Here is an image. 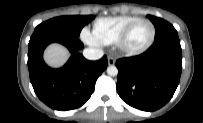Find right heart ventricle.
Masks as SVG:
<instances>
[{
	"label": "right heart ventricle",
	"mask_w": 203,
	"mask_h": 123,
	"mask_svg": "<svg viewBox=\"0 0 203 123\" xmlns=\"http://www.w3.org/2000/svg\"><path fill=\"white\" fill-rule=\"evenodd\" d=\"M138 19L140 18L130 15L99 18L94 22L93 35L100 44H114L122 31Z\"/></svg>",
	"instance_id": "obj_1"
}]
</instances>
